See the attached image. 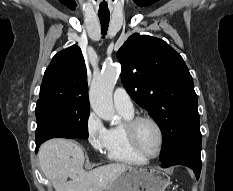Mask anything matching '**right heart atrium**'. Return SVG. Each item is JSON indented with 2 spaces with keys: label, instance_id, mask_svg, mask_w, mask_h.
Listing matches in <instances>:
<instances>
[{
  "label": "right heart atrium",
  "instance_id": "obj_1",
  "mask_svg": "<svg viewBox=\"0 0 233 191\" xmlns=\"http://www.w3.org/2000/svg\"><path fill=\"white\" fill-rule=\"evenodd\" d=\"M86 134L88 142L96 151H103L106 149L108 129L95 113H90L87 118Z\"/></svg>",
  "mask_w": 233,
  "mask_h": 191
}]
</instances>
